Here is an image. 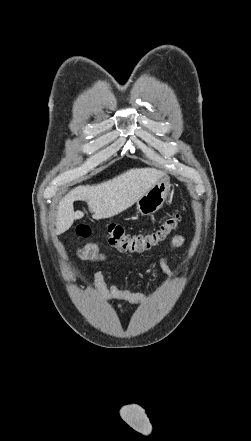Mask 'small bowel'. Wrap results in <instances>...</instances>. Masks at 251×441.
Returning <instances> with one entry per match:
<instances>
[{"label":"small bowel","mask_w":251,"mask_h":441,"mask_svg":"<svg viewBox=\"0 0 251 441\" xmlns=\"http://www.w3.org/2000/svg\"><path fill=\"white\" fill-rule=\"evenodd\" d=\"M185 241V238L181 235L175 236L172 239L171 246L173 248L180 247ZM76 257L87 260L91 263H105L109 267L115 265V261L99 251L97 245L93 243H87L82 247H78L74 250ZM160 268L162 272L169 278H173L174 274L171 270L166 258H161ZM90 286L98 291V293L106 300L111 302L127 301L133 304L143 305L148 304L155 299L154 296H148L141 292L132 291L130 289L121 287L113 282H108L101 271H95L90 282ZM117 309H121L120 305H116Z\"/></svg>","instance_id":"small-bowel-1"}]
</instances>
